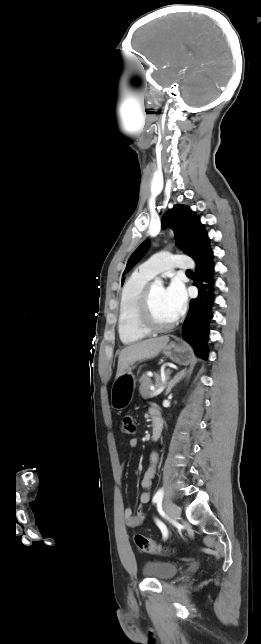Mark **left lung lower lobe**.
Masks as SVG:
<instances>
[{
	"label": "left lung lower lobe",
	"instance_id": "1",
	"mask_svg": "<svg viewBox=\"0 0 261 644\" xmlns=\"http://www.w3.org/2000/svg\"><path fill=\"white\" fill-rule=\"evenodd\" d=\"M196 264L194 285L198 287L199 295L190 301L182 336L193 347L195 354L206 360L209 352V323L213 317L212 307L215 300L213 253Z\"/></svg>",
	"mask_w": 261,
	"mask_h": 644
}]
</instances>
